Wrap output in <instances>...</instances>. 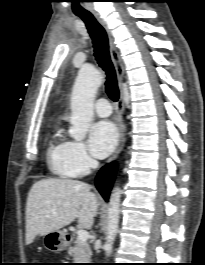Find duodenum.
<instances>
[{"label":"duodenum","mask_w":205,"mask_h":265,"mask_svg":"<svg viewBox=\"0 0 205 265\" xmlns=\"http://www.w3.org/2000/svg\"><path fill=\"white\" fill-rule=\"evenodd\" d=\"M65 240H66L67 242H69V241H70V237H69V236H66V237H65Z\"/></svg>","instance_id":"410a0bca"}]
</instances>
